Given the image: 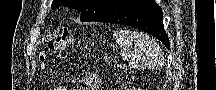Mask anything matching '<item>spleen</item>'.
<instances>
[{"label":"spleen","instance_id":"1","mask_svg":"<svg viewBox=\"0 0 216 90\" xmlns=\"http://www.w3.org/2000/svg\"><path fill=\"white\" fill-rule=\"evenodd\" d=\"M114 38L122 52V60L128 62L134 70H149L160 64L161 50L147 34L119 30Z\"/></svg>","mask_w":216,"mask_h":90}]
</instances>
